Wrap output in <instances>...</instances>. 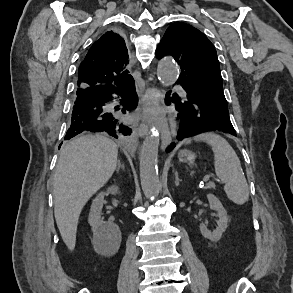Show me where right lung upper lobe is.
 <instances>
[{"label":"right lung upper lobe","mask_w":293,"mask_h":293,"mask_svg":"<svg viewBox=\"0 0 293 293\" xmlns=\"http://www.w3.org/2000/svg\"><path fill=\"white\" fill-rule=\"evenodd\" d=\"M128 52L123 38L108 31L88 51L78 71V87L121 86L133 79L126 70Z\"/></svg>","instance_id":"right-lung-upper-lobe-1"}]
</instances>
